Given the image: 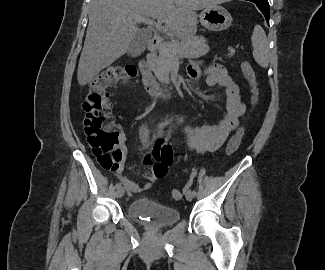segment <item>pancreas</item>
Returning a JSON list of instances; mask_svg holds the SVG:
<instances>
[{
  "label": "pancreas",
  "instance_id": "1",
  "mask_svg": "<svg viewBox=\"0 0 325 270\" xmlns=\"http://www.w3.org/2000/svg\"><path fill=\"white\" fill-rule=\"evenodd\" d=\"M228 50V56L232 57L235 50L232 48ZM208 52L209 46L203 37H193L181 42L170 41L159 49V56L152 70L160 83L168 84L170 71L180 59H196Z\"/></svg>",
  "mask_w": 325,
  "mask_h": 270
}]
</instances>
